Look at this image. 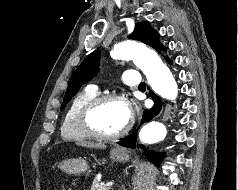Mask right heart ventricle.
<instances>
[{
  "label": "right heart ventricle",
  "instance_id": "right-heart-ventricle-1",
  "mask_svg": "<svg viewBox=\"0 0 238 190\" xmlns=\"http://www.w3.org/2000/svg\"><path fill=\"white\" fill-rule=\"evenodd\" d=\"M96 89L86 88L71 101L61 125V136L67 141H85L89 137L81 130L78 122L82 108L97 96Z\"/></svg>",
  "mask_w": 238,
  "mask_h": 190
}]
</instances>
